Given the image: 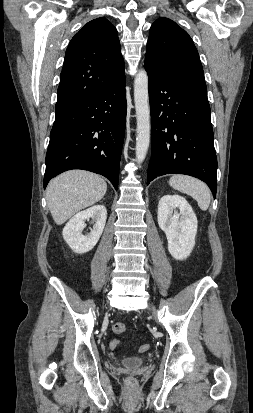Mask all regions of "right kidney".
Instances as JSON below:
<instances>
[{"instance_id": "right-kidney-1", "label": "right kidney", "mask_w": 253, "mask_h": 413, "mask_svg": "<svg viewBox=\"0 0 253 413\" xmlns=\"http://www.w3.org/2000/svg\"><path fill=\"white\" fill-rule=\"evenodd\" d=\"M92 218L95 221L93 229L87 235L82 231L86 227L85 220ZM107 218L104 205H96L74 215L63 229L62 235L66 243L75 253H86L94 248L100 239Z\"/></svg>"}]
</instances>
